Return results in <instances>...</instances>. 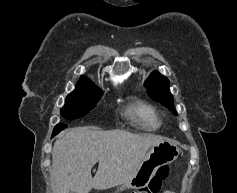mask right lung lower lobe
Returning <instances> with one entry per match:
<instances>
[{
  "label": "right lung lower lobe",
  "instance_id": "obj_1",
  "mask_svg": "<svg viewBox=\"0 0 237 193\" xmlns=\"http://www.w3.org/2000/svg\"><path fill=\"white\" fill-rule=\"evenodd\" d=\"M66 127H67V125H65V124H58V125H56L54 130H53L52 137L57 135L61 130H63Z\"/></svg>",
  "mask_w": 237,
  "mask_h": 193
}]
</instances>
